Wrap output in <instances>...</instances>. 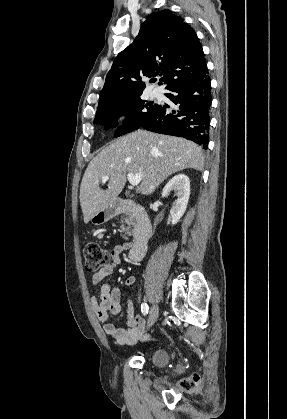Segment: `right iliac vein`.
I'll list each match as a JSON object with an SVG mask.
<instances>
[{"label":"right iliac vein","instance_id":"right-iliac-vein-1","mask_svg":"<svg viewBox=\"0 0 287 419\" xmlns=\"http://www.w3.org/2000/svg\"><path fill=\"white\" fill-rule=\"evenodd\" d=\"M158 314H159V308L156 304H154L150 310V314L148 318V327L152 326L156 322L158 318Z\"/></svg>","mask_w":287,"mask_h":419}]
</instances>
